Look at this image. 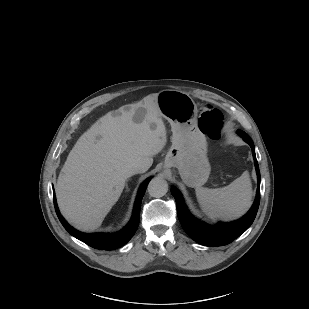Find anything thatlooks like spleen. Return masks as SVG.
<instances>
[{
    "label": "spleen",
    "instance_id": "spleen-1",
    "mask_svg": "<svg viewBox=\"0 0 309 309\" xmlns=\"http://www.w3.org/2000/svg\"><path fill=\"white\" fill-rule=\"evenodd\" d=\"M203 212L211 218L231 220L242 216L251 206L252 187L247 172L222 188L196 187Z\"/></svg>",
    "mask_w": 309,
    "mask_h": 309
}]
</instances>
